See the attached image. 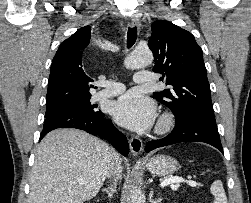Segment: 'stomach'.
<instances>
[{
  "instance_id": "0dacf381",
  "label": "stomach",
  "mask_w": 251,
  "mask_h": 203,
  "mask_svg": "<svg viewBox=\"0 0 251 203\" xmlns=\"http://www.w3.org/2000/svg\"><path fill=\"white\" fill-rule=\"evenodd\" d=\"M146 168L158 176H168L178 169V162L167 155H157L145 162Z\"/></svg>"
}]
</instances>
